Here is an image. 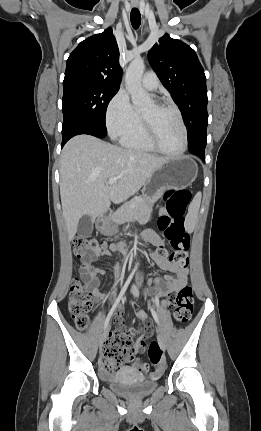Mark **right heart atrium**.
Here are the masks:
<instances>
[{
  "mask_svg": "<svg viewBox=\"0 0 261 431\" xmlns=\"http://www.w3.org/2000/svg\"><path fill=\"white\" fill-rule=\"evenodd\" d=\"M138 122V114L125 90H119L106 109V126L112 138H121Z\"/></svg>",
  "mask_w": 261,
  "mask_h": 431,
  "instance_id": "right-heart-atrium-1",
  "label": "right heart atrium"
}]
</instances>
